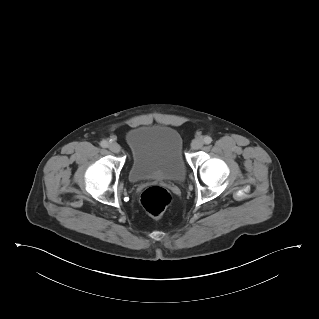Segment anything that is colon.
Listing matches in <instances>:
<instances>
[{
    "mask_svg": "<svg viewBox=\"0 0 319 319\" xmlns=\"http://www.w3.org/2000/svg\"><path fill=\"white\" fill-rule=\"evenodd\" d=\"M171 200L170 193L165 188L157 185L146 188L141 195V203L144 209L154 218L163 215Z\"/></svg>",
    "mask_w": 319,
    "mask_h": 319,
    "instance_id": "5ec220e1",
    "label": "colon"
}]
</instances>
